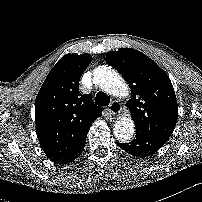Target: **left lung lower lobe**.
I'll return each mask as SVG.
<instances>
[{
    "label": "left lung lower lobe",
    "mask_w": 202,
    "mask_h": 202,
    "mask_svg": "<svg viewBox=\"0 0 202 202\" xmlns=\"http://www.w3.org/2000/svg\"><path fill=\"white\" fill-rule=\"evenodd\" d=\"M168 137L136 132L135 139L129 143H117L127 153L136 157H146L156 153Z\"/></svg>",
    "instance_id": "0a47b994"
}]
</instances>
